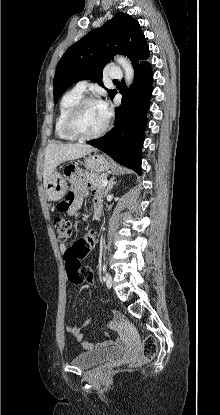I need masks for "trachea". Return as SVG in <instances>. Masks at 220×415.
Returning a JSON list of instances; mask_svg holds the SVG:
<instances>
[{"label":"trachea","instance_id":"obj_1","mask_svg":"<svg viewBox=\"0 0 220 415\" xmlns=\"http://www.w3.org/2000/svg\"><path fill=\"white\" fill-rule=\"evenodd\" d=\"M113 82H118V80H113Z\"/></svg>","mask_w":220,"mask_h":415}]
</instances>
